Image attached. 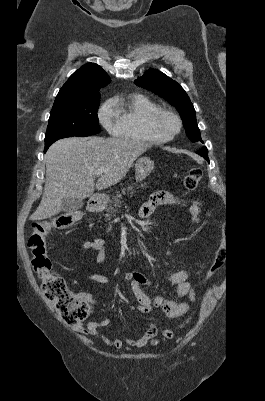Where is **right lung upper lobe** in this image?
Segmentation results:
<instances>
[{"instance_id": "cb5924a9", "label": "right lung upper lobe", "mask_w": 265, "mask_h": 401, "mask_svg": "<svg viewBox=\"0 0 265 401\" xmlns=\"http://www.w3.org/2000/svg\"><path fill=\"white\" fill-rule=\"evenodd\" d=\"M109 82V76L99 65L87 63L70 76L57 94L53 106L72 100L100 96V88Z\"/></svg>"}]
</instances>
